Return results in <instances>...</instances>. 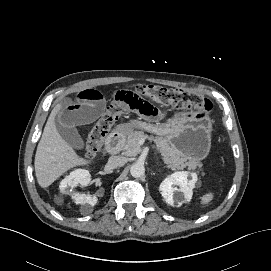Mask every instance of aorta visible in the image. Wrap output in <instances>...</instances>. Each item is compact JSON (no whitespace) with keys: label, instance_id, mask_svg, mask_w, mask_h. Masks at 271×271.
I'll return each instance as SVG.
<instances>
[{"label":"aorta","instance_id":"1","mask_svg":"<svg viewBox=\"0 0 271 271\" xmlns=\"http://www.w3.org/2000/svg\"><path fill=\"white\" fill-rule=\"evenodd\" d=\"M130 174L134 178L142 177L145 174V167L142 163H133L130 167Z\"/></svg>","mask_w":271,"mask_h":271}]
</instances>
